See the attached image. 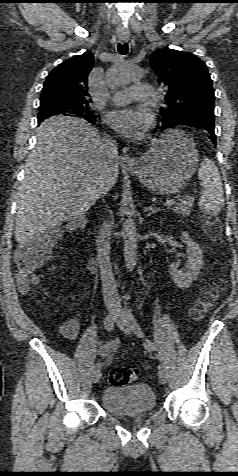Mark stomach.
Returning a JSON list of instances; mask_svg holds the SVG:
<instances>
[{"label": "stomach", "mask_w": 238, "mask_h": 476, "mask_svg": "<svg viewBox=\"0 0 238 476\" xmlns=\"http://www.w3.org/2000/svg\"><path fill=\"white\" fill-rule=\"evenodd\" d=\"M198 162L195 145L184 132L171 130L155 139L129 170L153 192L174 194L187 184Z\"/></svg>", "instance_id": "stomach-1"}]
</instances>
